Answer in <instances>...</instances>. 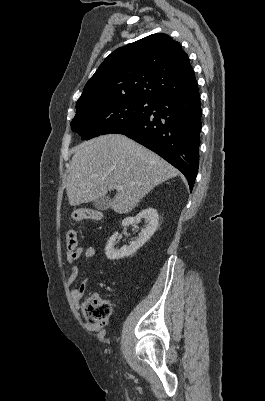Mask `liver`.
Listing matches in <instances>:
<instances>
[{"label": "liver", "instance_id": "1", "mask_svg": "<svg viewBox=\"0 0 265 401\" xmlns=\"http://www.w3.org/2000/svg\"><path fill=\"white\" fill-rule=\"evenodd\" d=\"M67 174L69 205L96 201L122 184L110 203L119 215L130 213L156 184L177 176L164 158L124 134H103L75 146Z\"/></svg>", "mask_w": 265, "mask_h": 401}]
</instances>
